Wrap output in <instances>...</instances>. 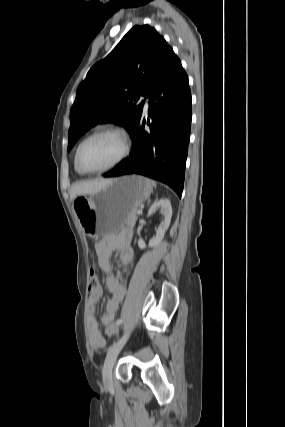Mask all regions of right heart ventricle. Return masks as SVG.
Segmentation results:
<instances>
[{
  "mask_svg": "<svg viewBox=\"0 0 285 427\" xmlns=\"http://www.w3.org/2000/svg\"><path fill=\"white\" fill-rule=\"evenodd\" d=\"M74 167H75V170H76L79 174H84V173H82V172L78 169V167H77V165H76L75 157H74Z\"/></svg>",
  "mask_w": 285,
  "mask_h": 427,
  "instance_id": "e07e8e85",
  "label": "right heart ventricle"
}]
</instances>
